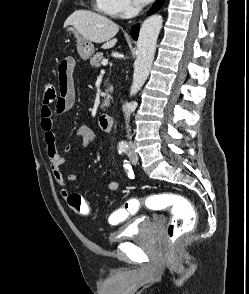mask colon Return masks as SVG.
I'll use <instances>...</instances> for the list:
<instances>
[{"label":"colon","instance_id":"1","mask_svg":"<svg viewBox=\"0 0 249 294\" xmlns=\"http://www.w3.org/2000/svg\"><path fill=\"white\" fill-rule=\"evenodd\" d=\"M70 69L71 59L66 57L61 61L58 70L65 75ZM58 93L59 91L53 83H45L44 104L56 102L59 98ZM67 201L76 215L87 216L89 214L88 205L81 195L76 193L69 194ZM142 201L150 209H157L164 206L172 207L173 216L166 229V236L170 243H176L182 235L191 231L195 226L196 214L194 207L188 199L175 194L148 196L144 200L137 198L129 199L120 209L119 216L125 219L134 215L139 210Z\"/></svg>","mask_w":249,"mask_h":294}]
</instances>
